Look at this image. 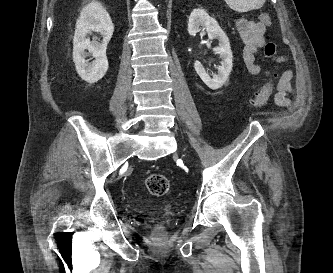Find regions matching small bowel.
I'll return each mask as SVG.
<instances>
[{"label": "small bowel", "instance_id": "small-bowel-1", "mask_svg": "<svg viewBox=\"0 0 333 273\" xmlns=\"http://www.w3.org/2000/svg\"><path fill=\"white\" fill-rule=\"evenodd\" d=\"M236 27L244 44L243 62L248 72L253 76H257L261 72V67L256 63V55L265 43L266 25L261 21L239 19L236 22ZM275 61L281 63L284 58L277 57ZM292 78V71L287 70L282 73L278 81L275 100L281 106H287L291 103L289 94L291 93Z\"/></svg>", "mask_w": 333, "mask_h": 273}]
</instances>
